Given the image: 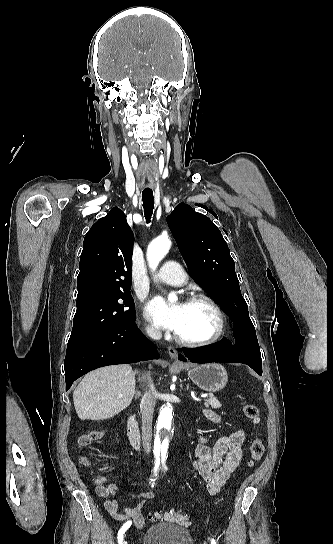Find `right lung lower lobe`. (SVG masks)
Listing matches in <instances>:
<instances>
[{
    "mask_svg": "<svg viewBox=\"0 0 333 544\" xmlns=\"http://www.w3.org/2000/svg\"><path fill=\"white\" fill-rule=\"evenodd\" d=\"M159 359L156 346L138 330L135 320L67 349L64 361L66 390L99 367Z\"/></svg>",
    "mask_w": 333,
    "mask_h": 544,
    "instance_id": "98d812e1",
    "label": "right lung lower lobe"
}]
</instances>
